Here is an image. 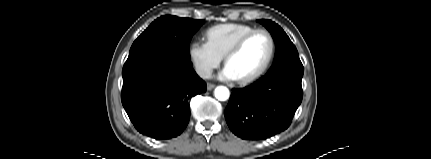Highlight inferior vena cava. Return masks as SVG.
<instances>
[{
    "mask_svg": "<svg viewBox=\"0 0 431 159\" xmlns=\"http://www.w3.org/2000/svg\"><path fill=\"white\" fill-rule=\"evenodd\" d=\"M196 72L200 77L204 79H210L212 76V69L209 67L199 66L196 68Z\"/></svg>",
    "mask_w": 431,
    "mask_h": 159,
    "instance_id": "obj_1",
    "label": "inferior vena cava"
}]
</instances>
